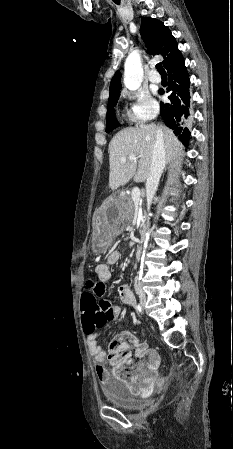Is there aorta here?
<instances>
[{
  "mask_svg": "<svg viewBox=\"0 0 233 449\" xmlns=\"http://www.w3.org/2000/svg\"><path fill=\"white\" fill-rule=\"evenodd\" d=\"M124 84L129 90H137L143 80V69L137 51L129 54L125 61Z\"/></svg>",
  "mask_w": 233,
  "mask_h": 449,
  "instance_id": "aorta-1",
  "label": "aorta"
}]
</instances>
